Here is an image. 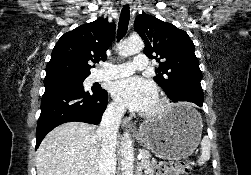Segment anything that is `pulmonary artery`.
<instances>
[{"label": "pulmonary artery", "instance_id": "e3ab8cb5", "mask_svg": "<svg viewBox=\"0 0 251 175\" xmlns=\"http://www.w3.org/2000/svg\"><path fill=\"white\" fill-rule=\"evenodd\" d=\"M111 67L106 70V72L99 76L98 79L106 78H118L122 76L129 75L134 72V70L146 71V67H150V58L145 52H138L135 55V62L126 61L123 63L110 64Z\"/></svg>", "mask_w": 251, "mask_h": 175}]
</instances>
